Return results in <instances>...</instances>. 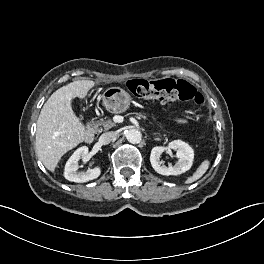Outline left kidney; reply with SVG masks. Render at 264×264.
Segmentation results:
<instances>
[{"label": "left kidney", "instance_id": "left-kidney-1", "mask_svg": "<svg viewBox=\"0 0 264 264\" xmlns=\"http://www.w3.org/2000/svg\"><path fill=\"white\" fill-rule=\"evenodd\" d=\"M169 149L177 150L176 157L178 158V162L168 167L165 165H161L160 156L162 152L166 149L162 146H155L151 150L150 162L153 169L162 175H179L186 171H188L194 159V151L192 147L182 140H174L168 144Z\"/></svg>", "mask_w": 264, "mask_h": 264}]
</instances>
